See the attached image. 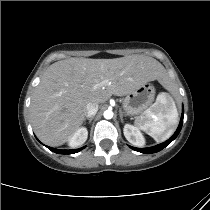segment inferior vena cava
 <instances>
[{
  "label": "inferior vena cava",
  "instance_id": "1",
  "mask_svg": "<svg viewBox=\"0 0 210 210\" xmlns=\"http://www.w3.org/2000/svg\"><path fill=\"white\" fill-rule=\"evenodd\" d=\"M97 111H98V104L94 102H89L86 105L85 116L92 117L97 113Z\"/></svg>",
  "mask_w": 210,
  "mask_h": 210
}]
</instances>
